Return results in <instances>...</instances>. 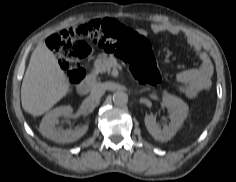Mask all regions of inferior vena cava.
Here are the masks:
<instances>
[{
	"label": "inferior vena cava",
	"instance_id": "inferior-vena-cava-1",
	"mask_svg": "<svg viewBox=\"0 0 236 182\" xmlns=\"http://www.w3.org/2000/svg\"><path fill=\"white\" fill-rule=\"evenodd\" d=\"M106 91L105 85L101 82L95 83L91 87L90 96L98 99L104 95Z\"/></svg>",
	"mask_w": 236,
	"mask_h": 182
}]
</instances>
